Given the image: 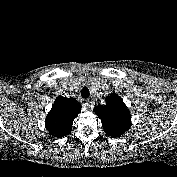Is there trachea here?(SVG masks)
I'll return each instance as SVG.
<instances>
[{
  "label": "trachea",
  "mask_w": 177,
  "mask_h": 177,
  "mask_svg": "<svg viewBox=\"0 0 177 177\" xmlns=\"http://www.w3.org/2000/svg\"><path fill=\"white\" fill-rule=\"evenodd\" d=\"M81 96L82 98H88L90 96V92H89V89L88 87H84L81 91Z\"/></svg>",
  "instance_id": "trachea-1"
}]
</instances>
